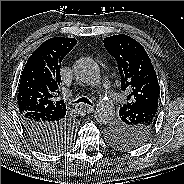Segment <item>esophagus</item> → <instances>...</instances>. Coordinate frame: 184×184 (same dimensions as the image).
<instances>
[{"instance_id": "34e87169", "label": "esophagus", "mask_w": 184, "mask_h": 184, "mask_svg": "<svg viewBox=\"0 0 184 184\" xmlns=\"http://www.w3.org/2000/svg\"><path fill=\"white\" fill-rule=\"evenodd\" d=\"M78 111L82 114H90L94 111V107L90 105H79Z\"/></svg>"}]
</instances>
